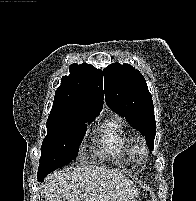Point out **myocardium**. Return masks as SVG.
<instances>
[{
  "mask_svg": "<svg viewBox=\"0 0 196 201\" xmlns=\"http://www.w3.org/2000/svg\"><path fill=\"white\" fill-rule=\"evenodd\" d=\"M133 153L139 160H143L147 155V148L143 142L139 141L134 146Z\"/></svg>",
  "mask_w": 196,
  "mask_h": 201,
  "instance_id": "f54148a6",
  "label": "myocardium"
}]
</instances>
